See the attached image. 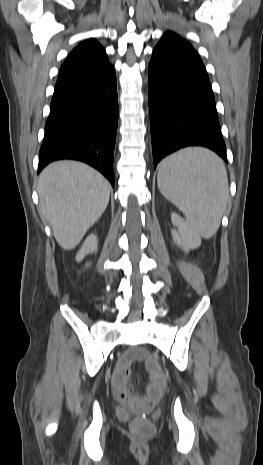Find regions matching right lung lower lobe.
<instances>
[{"label": "right lung lower lobe", "mask_w": 263, "mask_h": 465, "mask_svg": "<svg viewBox=\"0 0 263 465\" xmlns=\"http://www.w3.org/2000/svg\"><path fill=\"white\" fill-rule=\"evenodd\" d=\"M118 96L113 66L58 81L45 125L38 173L50 162L74 159L99 170L114 186Z\"/></svg>", "instance_id": "1"}]
</instances>
